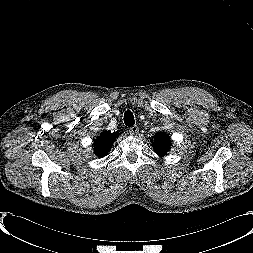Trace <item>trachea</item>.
<instances>
[{"label":"trachea","mask_w":253,"mask_h":253,"mask_svg":"<svg viewBox=\"0 0 253 253\" xmlns=\"http://www.w3.org/2000/svg\"><path fill=\"white\" fill-rule=\"evenodd\" d=\"M124 123L126 126H133L135 124L134 116L130 110L124 113Z\"/></svg>","instance_id":"1"}]
</instances>
